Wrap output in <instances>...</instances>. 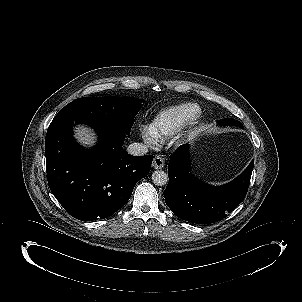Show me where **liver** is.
Returning a JSON list of instances; mask_svg holds the SVG:
<instances>
[{"label": "liver", "mask_w": 302, "mask_h": 302, "mask_svg": "<svg viewBox=\"0 0 302 302\" xmlns=\"http://www.w3.org/2000/svg\"><path fill=\"white\" fill-rule=\"evenodd\" d=\"M77 139L84 145H92L95 142V136L91 129L84 126L78 127L76 130Z\"/></svg>", "instance_id": "6515ba94"}]
</instances>
